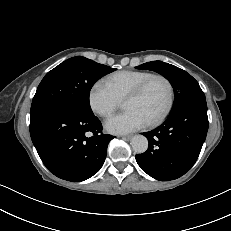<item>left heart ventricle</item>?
<instances>
[{"label":"left heart ventricle","mask_w":231,"mask_h":231,"mask_svg":"<svg viewBox=\"0 0 231 231\" xmlns=\"http://www.w3.org/2000/svg\"><path fill=\"white\" fill-rule=\"evenodd\" d=\"M169 99L167 84L160 79L151 83L146 92L137 99L126 100L125 110L138 112L147 122L158 117L166 108Z\"/></svg>","instance_id":"obj_1"}]
</instances>
